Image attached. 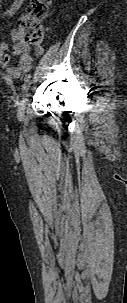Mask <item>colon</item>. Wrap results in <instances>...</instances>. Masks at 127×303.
I'll use <instances>...</instances> for the list:
<instances>
[{
    "label": "colon",
    "instance_id": "5ec220e1",
    "mask_svg": "<svg viewBox=\"0 0 127 303\" xmlns=\"http://www.w3.org/2000/svg\"><path fill=\"white\" fill-rule=\"evenodd\" d=\"M49 0H32L27 16L19 20V37L25 45H39L44 39V28L41 23L46 14Z\"/></svg>",
    "mask_w": 127,
    "mask_h": 303
}]
</instances>
